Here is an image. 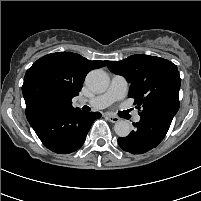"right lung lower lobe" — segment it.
<instances>
[{
    "mask_svg": "<svg viewBox=\"0 0 201 201\" xmlns=\"http://www.w3.org/2000/svg\"><path fill=\"white\" fill-rule=\"evenodd\" d=\"M26 117L41 142L51 151L68 154L79 149L99 112L79 108L60 109L40 106L26 111Z\"/></svg>",
    "mask_w": 201,
    "mask_h": 201,
    "instance_id": "1",
    "label": "right lung lower lobe"
}]
</instances>
